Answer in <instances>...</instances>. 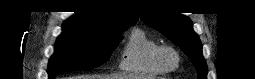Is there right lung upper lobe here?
Listing matches in <instances>:
<instances>
[{
  "mask_svg": "<svg viewBox=\"0 0 255 79\" xmlns=\"http://www.w3.org/2000/svg\"><path fill=\"white\" fill-rule=\"evenodd\" d=\"M76 16L66 20L63 24L64 30H76L92 33L112 35L125 27L137 22L136 13L109 14L99 13L90 7H86Z\"/></svg>",
  "mask_w": 255,
  "mask_h": 79,
  "instance_id": "cb5924a9",
  "label": "right lung upper lobe"
}]
</instances>
